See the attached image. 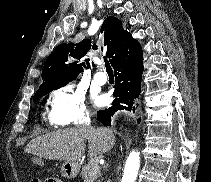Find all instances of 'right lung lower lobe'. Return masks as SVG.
<instances>
[{"label": "right lung lower lobe", "mask_w": 211, "mask_h": 182, "mask_svg": "<svg viewBox=\"0 0 211 182\" xmlns=\"http://www.w3.org/2000/svg\"><path fill=\"white\" fill-rule=\"evenodd\" d=\"M113 68L116 79L113 106L97 113V119L108 126L111 125V117L116 111L131 110L132 108L135 111L133 101L139 98L143 72L142 48L136 39L131 38L124 46ZM140 121L139 118L137 122L140 123Z\"/></svg>", "instance_id": "1"}]
</instances>
